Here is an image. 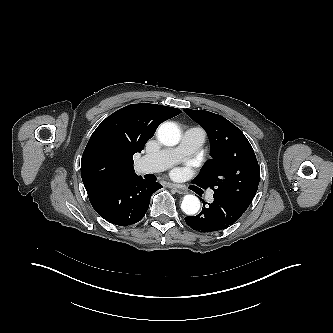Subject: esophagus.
<instances>
[{"label":"esophagus","mask_w":333,"mask_h":333,"mask_svg":"<svg viewBox=\"0 0 333 333\" xmlns=\"http://www.w3.org/2000/svg\"><path fill=\"white\" fill-rule=\"evenodd\" d=\"M168 187L174 189L179 194H186L187 193V191L184 188H182V187H180L179 185H176V184H169Z\"/></svg>","instance_id":"1"}]
</instances>
